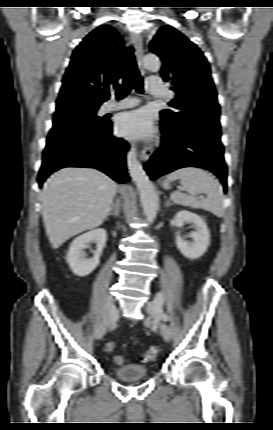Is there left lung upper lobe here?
<instances>
[{
	"label": "left lung upper lobe",
	"mask_w": 273,
	"mask_h": 430,
	"mask_svg": "<svg viewBox=\"0 0 273 430\" xmlns=\"http://www.w3.org/2000/svg\"><path fill=\"white\" fill-rule=\"evenodd\" d=\"M149 47L161 58L162 78L175 91L169 104L172 110H163L161 115L177 125L189 124L201 114L219 119L220 107L211 70L200 49L172 26L161 27Z\"/></svg>",
	"instance_id": "1"
}]
</instances>
